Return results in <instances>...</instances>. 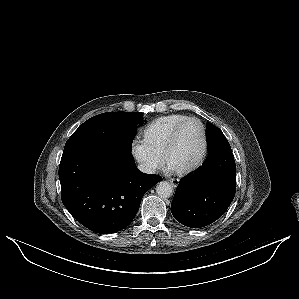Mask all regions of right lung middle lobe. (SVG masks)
Instances as JSON below:
<instances>
[{
    "label": "right lung middle lobe",
    "instance_id": "right-lung-middle-lobe-1",
    "mask_svg": "<svg viewBox=\"0 0 299 299\" xmlns=\"http://www.w3.org/2000/svg\"><path fill=\"white\" fill-rule=\"evenodd\" d=\"M142 112H107L85 121L70 137L73 140L97 141L116 145L128 152L142 124Z\"/></svg>",
    "mask_w": 299,
    "mask_h": 299
}]
</instances>
